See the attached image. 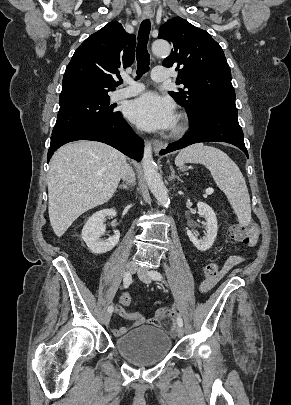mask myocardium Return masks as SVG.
<instances>
[{"label":"myocardium","instance_id":"1","mask_svg":"<svg viewBox=\"0 0 291 405\" xmlns=\"http://www.w3.org/2000/svg\"><path fill=\"white\" fill-rule=\"evenodd\" d=\"M188 128H189L188 117L186 116V114L180 113L177 116L176 124L173 129L172 135L175 137L182 136L187 132Z\"/></svg>","mask_w":291,"mask_h":405}]
</instances>
